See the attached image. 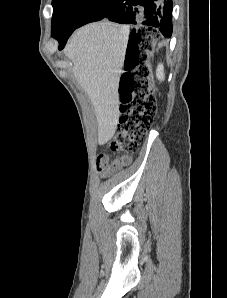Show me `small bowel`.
Wrapping results in <instances>:
<instances>
[{
  "mask_svg": "<svg viewBox=\"0 0 227 298\" xmlns=\"http://www.w3.org/2000/svg\"><path fill=\"white\" fill-rule=\"evenodd\" d=\"M132 161V157L128 154H123L115 158H111L110 155L100 153L97 156L96 164L98 170L103 175H110L121 168L129 165Z\"/></svg>",
  "mask_w": 227,
  "mask_h": 298,
  "instance_id": "1",
  "label": "small bowel"
}]
</instances>
